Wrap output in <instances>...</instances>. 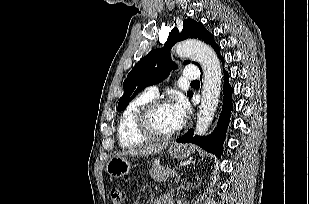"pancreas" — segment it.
<instances>
[{"instance_id": "cf45deb5", "label": "pancreas", "mask_w": 309, "mask_h": 204, "mask_svg": "<svg viewBox=\"0 0 309 204\" xmlns=\"http://www.w3.org/2000/svg\"><path fill=\"white\" fill-rule=\"evenodd\" d=\"M170 170L159 165H153L150 170V176L157 182H164L170 175Z\"/></svg>"}]
</instances>
